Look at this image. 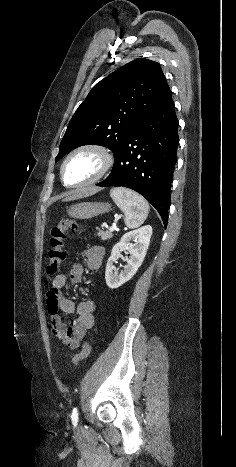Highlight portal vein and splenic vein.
Returning <instances> with one entry per match:
<instances>
[{
  "label": "portal vein and splenic vein",
  "mask_w": 236,
  "mask_h": 467,
  "mask_svg": "<svg viewBox=\"0 0 236 467\" xmlns=\"http://www.w3.org/2000/svg\"><path fill=\"white\" fill-rule=\"evenodd\" d=\"M116 229V225H113L112 227L109 228V231H114Z\"/></svg>",
  "instance_id": "1"
}]
</instances>
